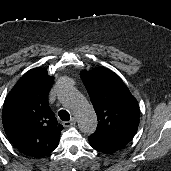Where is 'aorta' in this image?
Listing matches in <instances>:
<instances>
[{
    "instance_id": "762f6f07",
    "label": "aorta",
    "mask_w": 171,
    "mask_h": 171,
    "mask_svg": "<svg viewBox=\"0 0 171 171\" xmlns=\"http://www.w3.org/2000/svg\"><path fill=\"white\" fill-rule=\"evenodd\" d=\"M59 100L75 115L78 127L85 134H92L97 128V116L90 103L72 86L59 90Z\"/></svg>"
}]
</instances>
